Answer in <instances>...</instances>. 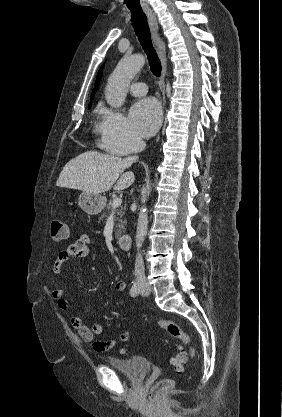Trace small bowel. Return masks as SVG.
I'll list each match as a JSON object with an SVG mask.
<instances>
[{
  "instance_id": "1",
  "label": "small bowel",
  "mask_w": 282,
  "mask_h": 417,
  "mask_svg": "<svg viewBox=\"0 0 282 417\" xmlns=\"http://www.w3.org/2000/svg\"><path fill=\"white\" fill-rule=\"evenodd\" d=\"M94 245L93 239L84 232L77 235L76 241L60 252L58 255L52 271L54 274H60L65 264L72 258H83L88 255L90 248ZM114 288L118 292L126 290V283L122 280L115 282ZM52 297L56 301L59 309L66 311L69 309L70 304L66 298L65 292L61 288H56L52 291ZM71 324L77 331L81 339L96 353H104L114 349L119 343L126 342L130 338V332L124 331L117 339L103 340L97 339V335H102L105 332L104 326L100 324L87 325L84 323L80 316H73L71 318ZM115 326H120L118 322L114 323Z\"/></svg>"
}]
</instances>
